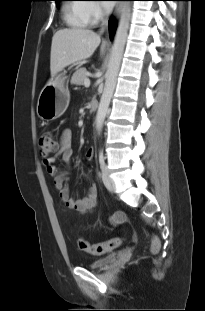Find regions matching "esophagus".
Wrapping results in <instances>:
<instances>
[{"label": "esophagus", "instance_id": "34e87169", "mask_svg": "<svg viewBox=\"0 0 205 311\" xmlns=\"http://www.w3.org/2000/svg\"><path fill=\"white\" fill-rule=\"evenodd\" d=\"M122 12V5L121 4H117L114 10V17H118L120 15V13ZM106 43H108V40L106 41Z\"/></svg>", "mask_w": 205, "mask_h": 311}]
</instances>
